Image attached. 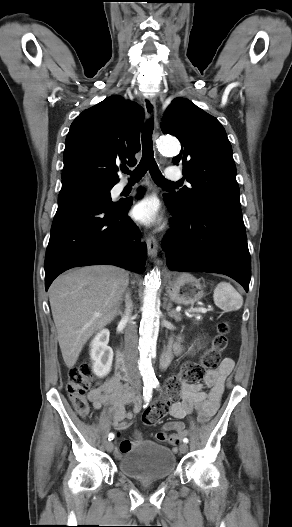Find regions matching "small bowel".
Segmentation results:
<instances>
[{
	"label": "small bowel",
	"mask_w": 292,
	"mask_h": 527,
	"mask_svg": "<svg viewBox=\"0 0 292 527\" xmlns=\"http://www.w3.org/2000/svg\"><path fill=\"white\" fill-rule=\"evenodd\" d=\"M172 348L176 352H181V341L177 340L172 345ZM169 359L170 352H167L165 362H168ZM233 366V360L225 358L217 369L208 371L204 379L207 391H204L200 384H181L178 394L180 400L172 401L169 407V414L175 421L163 425L162 430L157 433V440L161 442L168 441L173 445L178 444L180 436L185 434V425L181 420L194 409L200 413L199 421L201 423L212 417L219 407L225 380L231 373ZM88 398L95 409H100L103 406L108 407L112 416V424L118 430L128 429V421L139 411L141 404L140 397L136 396L131 388L116 374L101 386L92 389L88 394ZM128 405L132 406V410H126ZM140 440L141 436L137 433L135 442ZM135 442L122 441L118 447L117 454L127 451Z\"/></svg>",
	"instance_id": "small-bowel-1"
}]
</instances>
